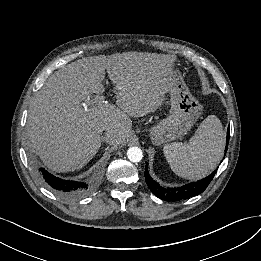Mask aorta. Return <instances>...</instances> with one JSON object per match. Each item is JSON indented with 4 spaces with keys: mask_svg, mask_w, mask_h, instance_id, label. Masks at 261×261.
Here are the masks:
<instances>
[{
    "mask_svg": "<svg viewBox=\"0 0 261 261\" xmlns=\"http://www.w3.org/2000/svg\"><path fill=\"white\" fill-rule=\"evenodd\" d=\"M127 157L131 162L137 163L140 162L143 158V152L138 147H130L127 150Z\"/></svg>",
    "mask_w": 261,
    "mask_h": 261,
    "instance_id": "762f6f07",
    "label": "aorta"
}]
</instances>
